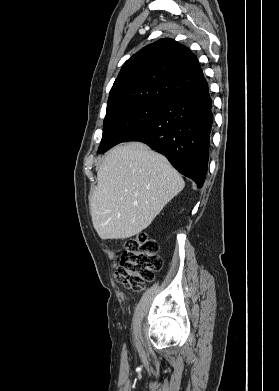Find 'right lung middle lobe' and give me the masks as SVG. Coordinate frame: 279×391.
<instances>
[{
    "label": "right lung middle lobe",
    "mask_w": 279,
    "mask_h": 391,
    "mask_svg": "<svg viewBox=\"0 0 279 391\" xmlns=\"http://www.w3.org/2000/svg\"><path fill=\"white\" fill-rule=\"evenodd\" d=\"M162 106L158 103H138L106 112L98 153L124 142L131 134L148 125Z\"/></svg>",
    "instance_id": "right-lung-middle-lobe-1"
}]
</instances>
